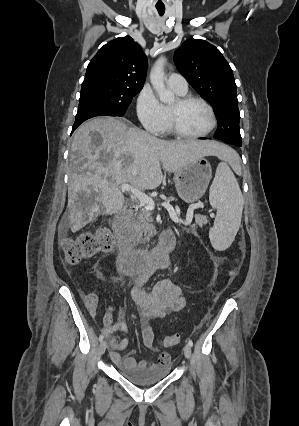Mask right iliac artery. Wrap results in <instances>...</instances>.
Instances as JSON below:
<instances>
[{"mask_svg": "<svg viewBox=\"0 0 299 426\" xmlns=\"http://www.w3.org/2000/svg\"><path fill=\"white\" fill-rule=\"evenodd\" d=\"M104 339V335L103 334H101L100 336H99V341H102Z\"/></svg>", "mask_w": 299, "mask_h": 426, "instance_id": "obj_1", "label": "right iliac artery"}]
</instances>
